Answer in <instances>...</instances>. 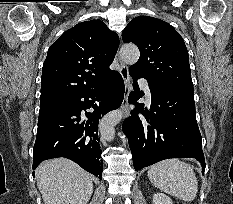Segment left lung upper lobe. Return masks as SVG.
Here are the masks:
<instances>
[{
  "label": "left lung upper lobe",
  "instance_id": "5c2ea615",
  "mask_svg": "<svg viewBox=\"0 0 233 204\" xmlns=\"http://www.w3.org/2000/svg\"><path fill=\"white\" fill-rule=\"evenodd\" d=\"M122 38L140 50L130 74L145 78L156 88L193 93L188 52L170 24L153 17H136L123 30Z\"/></svg>",
  "mask_w": 233,
  "mask_h": 204
}]
</instances>
